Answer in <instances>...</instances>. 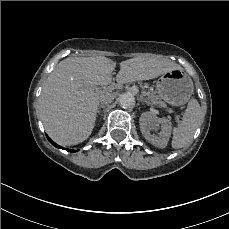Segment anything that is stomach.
<instances>
[{
	"label": "stomach",
	"mask_w": 229,
	"mask_h": 229,
	"mask_svg": "<svg viewBox=\"0 0 229 229\" xmlns=\"http://www.w3.org/2000/svg\"><path fill=\"white\" fill-rule=\"evenodd\" d=\"M158 96L172 106L188 103L194 93V83L183 69H173L157 80Z\"/></svg>",
	"instance_id": "1"
}]
</instances>
